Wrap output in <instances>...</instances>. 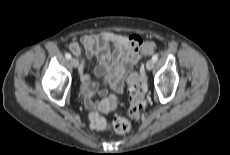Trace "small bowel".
Segmentation results:
<instances>
[{"instance_id":"obj_1","label":"small bowel","mask_w":230,"mask_h":155,"mask_svg":"<svg viewBox=\"0 0 230 155\" xmlns=\"http://www.w3.org/2000/svg\"><path fill=\"white\" fill-rule=\"evenodd\" d=\"M138 39L137 36L101 32L84 35L80 42L73 41L69 45L70 51L78 58L82 92L88 108L108 113L112 110L109 101L115 96L112 95L98 102L94 100L97 93L104 94L105 91H98V85L91 80L88 74L84 73L85 59L82 47L88 57L96 58L98 61L94 70L95 75L103 78L113 91L122 92L124 76L131 71L143 54L136 46L135 41ZM112 47L113 50H111Z\"/></svg>"}]
</instances>
